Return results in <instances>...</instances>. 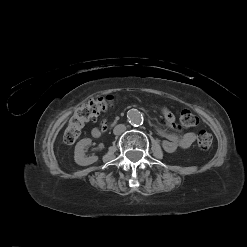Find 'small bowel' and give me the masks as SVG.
<instances>
[{"label": "small bowel", "instance_id": "obj_1", "mask_svg": "<svg viewBox=\"0 0 247 247\" xmlns=\"http://www.w3.org/2000/svg\"><path fill=\"white\" fill-rule=\"evenodd\" d=\"M162 114L164 117L165 124L168 128L176 130L177 126L175 124V117L167 108L162 109ZM107 128V124L102 123L100 128H93L91 134L93 137H99L102 132ZM159 133L164 137L162 142L163 149L168 153H173L177 149H187L189 148L196 139V135L193 132L177 133L175 131H169L165 128L160 127Z\"/></svg>", "mask_w": 247, "mask_h": 247}]
</instances>
